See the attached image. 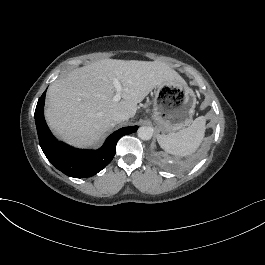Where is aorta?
I'll list each match as a JSON object with an SVG mask.
<instances>
[{
  "label": "aorta",
  "instance_id": "obj_1",
  "mask_svg": "<svg viewBox=\"0 0 265 265\" xmlns=\"http://www.w3.org/2000/svg\"><path fill=\"white\" fill-rule=\"evenodd\" d=\"M137 132L138 137L142 140H150L153 136V129L151 127L142 126Z\"/></svg>",
  "mask_w": 265,
  "mask_h": 265
}]
</instances>
